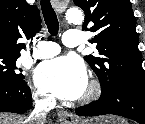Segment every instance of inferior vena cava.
<instances>
[{
	"label": "inferior vena cava",
	"instance_id": "1",
	"mask_svg": "<svg viewBox=\"0 0 145 124\" xmlns=\"http://www.w3.org/2000/svg\"><path fill=\"white\" fill-rule=\"evenodd\" d=\"M53 101L38 100L35 102V109L24 121V124H44L46 118V112L50 105H53Z\"/></svg>",
	"mask_w": 145,
	"mask_h": 124
}]
</instances>
